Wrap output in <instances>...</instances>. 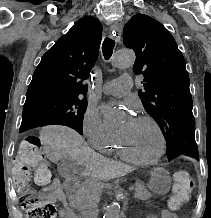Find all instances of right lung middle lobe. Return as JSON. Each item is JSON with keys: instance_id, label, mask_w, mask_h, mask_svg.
Segmentation results:
<instances>
[{"instance_id": "obj_1", "label": "right lung middle lobe", "mask_w": 211, "mask_h": 218, "mask_svg": "<svg viewBox=\"0 0 211 218\" xmlns=\"http://www.w3.org/2000/svg\"><path fill=\"white\" fill-rule=\"evenodd\" d=\"M86 108L87 101L76 97H54L25 102L20 131L48 124H61L82 134Z\"/></svg>"}]
</instances>
